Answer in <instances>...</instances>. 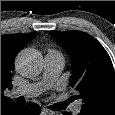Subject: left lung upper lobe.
I'll return each mask as SVG.
<instances>
[{
	"mask_svg": "<svg viewBox=\"0 0 115 115\" xmlns=\"http://www.w3.org/2000/svg\"><path fill=\"white\" fill-rule=\"evenodd\" d=\"M72 62L70 86L83 100L85 115H115V73L106 50L80 31H50Z\"/></svg>",
	"mask_w": 115,
	"mask_h": 115,
	"instance_id": "5c2ea615",
	"label": "left lung upper lobe"
}]
</instances>
